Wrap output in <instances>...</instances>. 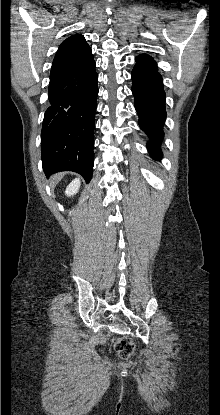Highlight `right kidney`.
<instances>
[{"label": "right kidney", "mask_w": 220, "mask_h": 415, "mask_svg": "<svg viewBox=\"0 0 220 415\" xmlns=\"http://www.w3.org/2000/svg\"><path fill=\"white\" fill-rule=\"evenodd\" d=\"M80 188V180L74 179L66 188L65 194L67 196H73L78 192Z\"/></svg>", "instance_id": "ca27d5eb"}]
</instances>
